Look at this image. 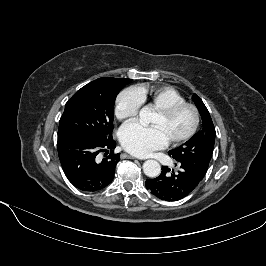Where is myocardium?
<instances>
[{
  "label": "myocardium",
  "mask_w": 266,
  "mask_h": 266,
  "mask_svg": "<svg viewBox=\"0 0 266 266\" xmlns=\"http://www.w3.org/2000/svg\"><path fill=\"white\" fill-rule=\"evenodd\" d=\"M184 109H189L192 112L193 124H192L191 128L188 130V132H186L184 135H182L179 138L169 140L170 143H172L174 145L182 144V143L188 141L189 139H191L196 134V132L199 128V125H200L199 110L194 104L188 103V102L172 105L170 107L157 110V113L159 115H161L162 117L170 118V117L174 116L176 113H178L179 111L184 110Z\"/></svg>",
  "instance_id": "myocardium-1"
}]
</instances>
